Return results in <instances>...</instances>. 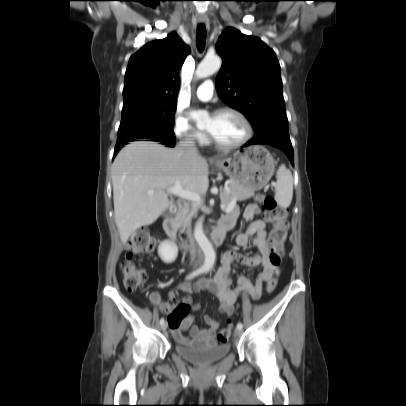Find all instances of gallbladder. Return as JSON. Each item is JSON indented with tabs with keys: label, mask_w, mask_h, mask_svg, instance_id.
<instances>
[{
	"label": "gallbladder",
	"mask_w": 406,
	"mask_h": 406,
	"mask_svg": "<svg viewBox=\"0 0 406 406\" xmlns=\"http://www.w3.org/2000/svg\"><path fill=\"white\" fill-rule=\"evenodd\" d=\"M163 216L166 218V217H171V216H173V213L169 210V209H167L164 213H163Z\"/></svg>",
	"instance_id": "1"
}]
</instances>
